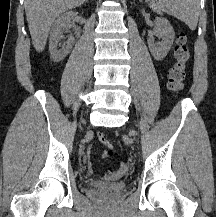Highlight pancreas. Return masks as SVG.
Here are the masks:
<instances>
[{
	"label": "pancreas",
	"instance_id": "obj_1",
	"mask_svg": "<svg viewBox=\"0 0 216 217\" xmlns=\"http://www.w3.org/2000/svg\"><path fill=\"white\" fill-rule=\"evenodd\" d=\"M147 1H149V0H147ZM151 7L153 8L154 11H156L159 14H161L159 8L153 2L151 3Z\"/></svg>",
	"mask_w": 216,
	"mask_h": 217
}]
</instances>
